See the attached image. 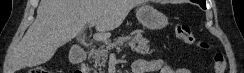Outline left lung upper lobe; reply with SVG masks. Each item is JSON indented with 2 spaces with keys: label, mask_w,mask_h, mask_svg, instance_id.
Returning <instances> with one entry per match:
<instances>
[{
  "label": "left lung upper lobe",
  "mask_w": 244,
  "mask_h": 73,
  "mask_svg": "<svg viewBox=\"0 0 244 73\" xmlns=\"http://www.w3.org/2000/svg\"><path fill=\"white\" fill-rule=\"evenodd\" d=\"M193 2L200 4L202 8H206V0H194Z\"/></svg>",
  "instance_id": "obj_1"
}]
</instances>
